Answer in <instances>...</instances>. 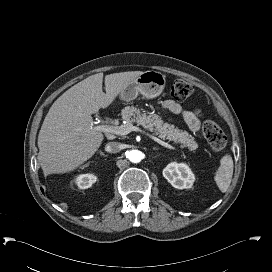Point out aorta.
Here are the masks:
<instances>
[{
	"label": "aorta",
	"mask_w": 272,
	"mask_h": 272,
	"mask_svg": "<svg viewBox=\"0 0 272 272\" xmlns=\"http://www.w3.org/2000/svg\"><path fill=\"white\" fill-rule=\"evenodd\" d=\"M127 156L128 159L133 163H138L142 159V153L139 150H131Z\"/></svg>",
	"instance_id": "obj_1"
}]
</instances>
